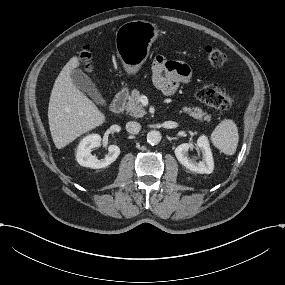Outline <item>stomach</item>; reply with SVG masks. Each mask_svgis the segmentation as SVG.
Here are the masks:
<instances>
[{
    "instance_id": "1",
    "label": "stomach",
    "mask_w": 285,
    "mask_h": 285,
    "mask_svg": "<svg viewBox=\"0 0 285 285\" xmlns=\"http://www.w3.org/2000/svg\"><path fill=\"white\" fill-rule=\"evenodd\" d=\"M160 36L155 23L133 20L122 24L115 33V47L123 71L134 76L146 63L152 44Z\"/></svg>"
}]
</instances>
